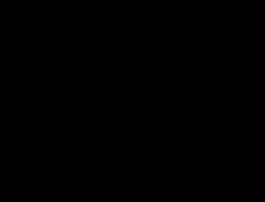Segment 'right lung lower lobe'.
<instances>
[{"instance_id": "1", "label": "right lung lower lobe", "mask_w": 265, "mask_h": 202, "mask_svg": "<svg viewBox=\"0 0 265 202\" xmlns=\"http://www.w3.org/2000/svg\"><path fill=\"white\" fill-rule=\"evenodd\" d=\"M80 100L84 118L90 122L95 121L93 126L79 135L57 132L53 138L80 153L82 157H96L107 150L119 123L127 118L129 109L118 84L110 80L84 82Z\"/></svg>"}]
</instances>
